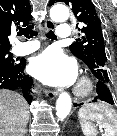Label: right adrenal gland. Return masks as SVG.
<instances>
[{"instance_id":"2a0ac1e0","label":"right adrenal gland","mask_w":117,"mask_h":136,"mask_svg":"<svg viewBox=\"0 0 117 136\" xmlns=\"http://www.w3.org/2000/svg\"><path fill=\"white\" fill-rule=\"evenodd\" d=\"M27 135V129L25 130V132H24V136H26Z\"/></svg>"}]
</instances>
